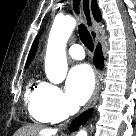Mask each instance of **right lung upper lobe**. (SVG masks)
<instances>
[{
    "mask_svg": "<svg viewBox=\"0 0 136 136\" xmlns=\"http://www.w3.org/2000/svg\"><path fill=\"white\" fill-rule=\"evenodd\" d=\"M91 7H92V12H93L94 18L97 21H100L101 20V13H100V10H99V8L97 6V2L95 0H92ZM37 44H38V38L35 39V41H34V43L32 45V48H31L30 53L28 55L26 66H28L29 63L32 61V59H33V57L35 55V52H36Z\"/></svg>",
    "mask_w": 136,
    "mask_h": 136,
    "instance_id": "obj_1",
    "label": "right lung upper lobe"
}]
</instances>
